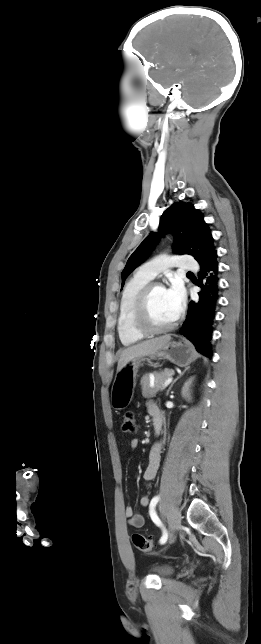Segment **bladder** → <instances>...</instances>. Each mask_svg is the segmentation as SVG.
<instances>
[{"mask_svg":"<svg viewBox=\"0 0 261 644\" xmlns=\"http://www.w3.org/2000/svg\"><path fill=\"white\" fill-rule=\"evenodd\" d=\"M154 571L160 577H166L174 572V568L170 565H160L154 568Z\"/></svg>","mask_w":261,"mask_h":644,"instance_id":"obj_1","label":"bladder"}]
</instances>
